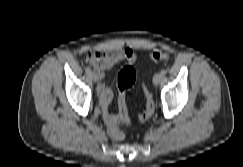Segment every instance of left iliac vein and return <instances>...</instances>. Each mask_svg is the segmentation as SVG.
I'll use <instances>...</instances> for the list:
<instances>
[{"label": "left iliac vein", "instance_id": "left-iliac-vein-1", "mask_svg": "<svg viewBox=\"0 0 243 167\" xmlns=\"http://www.w3.org/2000/svg\"><path fill=\"white\" fill-rule=\"evenodd\" d=\"M163 79V75L161 73H156L153 77V83L158 85Z\"/></svg>", "mask_w": 243, "mask_h": 167}]
</instances>
